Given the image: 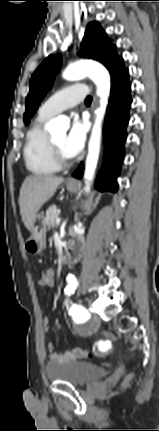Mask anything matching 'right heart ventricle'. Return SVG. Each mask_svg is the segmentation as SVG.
Wrapping results in <instances>:
<instances>
[{"instance_id": "1", "label": "right heart ventricle", "mask_w": 159, "mask_h": 431, "mask_svg": "<svg viewBox=\"0 0 159 431\" xmlns=\"http://www.w3.org/2000/svg\"><path fill=\"white\" fill-rule=\"evenodd\" d=\"M49 118L39 113L26 134L24 162L26 168L36 175H51L60 169L52 157L50 137L44 129V123Z\"/></svg>"}]
</instances>
